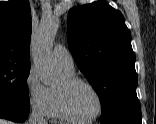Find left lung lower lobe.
<instances>
[{
    "label": "left lung lower lobe",
    "mask_w": 156,
    "mask_h": 124,
    "mask_svg": "<svg viewBox=\"0 0 156 124\" xmlns=\"http://www.w3.org/2000/svg\"><path fill=\"white\" fill-rule=\"evenodd\" d=\"M101 124H141V122L114 121L110 123H101Z\"/></svg>",
    "instance_id": "obj_1"
}]
</instances>
